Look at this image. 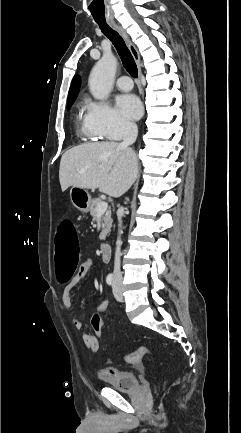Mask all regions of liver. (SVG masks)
Returning <instances> with one entry per match:
<instances>
[{
	"label": "liver",
	"mask_w": 241,
	"mask_h": 433,
	"mask_svg": "<svg viewBox=\"0 0 241 433\" xmlns=\"http://www.w3.org/2000/svg\"><path fill=\"white\" fill-rule=\"evenodd\" d=\"M138 160L134 150L116 142L86 143L61 157L59 180L68 187L99 189L112 197L122 196L134 183Z\"/></svg>",
	"instance_id": "6515ba94"
}]
</instances>
